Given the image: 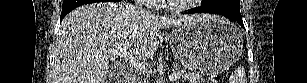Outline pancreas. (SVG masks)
<instances>
[{
  "label": "pancreas",
  "mask_w": 307,
  "mask_h": 83,
  "mask_svg": "<svg viewBox=\"0 0 307 83\" xmlns=\"http://www.w3.org/2000/svg\"><path fill=\"white\" fill-rule=\"evenodd\" d=\"M174 73L180 74L181 79L188 83H204L205 82L202 76L194 72H186L185 70H175Z\"/></svg>",
  "instance_id": "1"
}]
</instances>
